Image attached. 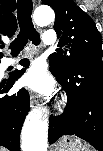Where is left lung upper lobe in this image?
Here are the masks:
<instances>
[{
    "instance_id": "left-lung-upper-lobe-1",
    "label": "left lung upper lobe",
    "mask_w": 103,
    "mask_h": 151,
    "mask_svg": "<svg viewBox=\"0 0 103 151\" xmlns=\"http://www.w3.org/2000/svg\"><path fill=\"white\" fill-rule=\"evenodd\" d=\"M42 4L55 11L54 30L61 47L49 56L50 69L66 74L86 57L103 56L102 39L96 24L73 0H43Z\"/></svg>"
}]
</instances>
